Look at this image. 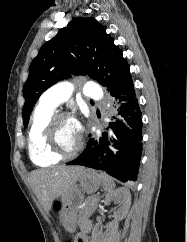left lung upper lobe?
<instances>
[{"label":"left lung upper lobe","instance_id":"obj_1","mask_svg":"<svg viewBox=\"0 0 187 242\" xmlns=\"http://www.w3.org/2000/svg\"><path fill=\"white\" fill-rule=\"evenodd\" d=\"M122 51L114 45L105 26L93 17L73 18L67 27L46 42L29 67L23 88L25 103L23 121L26 127L30 113L40 95L59 80L71 75H88L110 88L130 74Z\"/></svg>","mask_w":187,"mask_h":242}]
</instances>
